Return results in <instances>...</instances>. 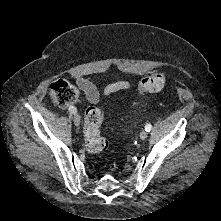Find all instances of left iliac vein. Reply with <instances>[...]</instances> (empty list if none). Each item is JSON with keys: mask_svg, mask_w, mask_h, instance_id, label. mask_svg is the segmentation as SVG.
<instances>
[{"mask_svg": "<svg viewBox=\"0 0 221 221\" xmlns=\"http://www.w3.org/2000/svg\"><path fill=\"white\" fill-rule=\"evenodd\" d=\"M147 136H148V133H147L146 130L141 131V133H140V138H141L142 140H145V139L147 138Z\"/></svg>", "mask_w": 221, "mask_h": 221, "instance_id": "obj_1", "label": "left iliac vein"}]
</instances>
